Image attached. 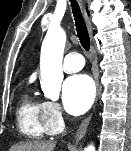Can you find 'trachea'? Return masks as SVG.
I'll list each match as a JSON object with an SVG mask.
<instances>
[{
	"label": "trachea",
	"mask_w": 131,
	"mask_h": 151,
	"mask_svg": "<svg viewBox=\"0 0 131 151\" xmlns=\"http://www.w3.org/2000/svg\"><path fill=\"white\" fill-rule=\"evenodd\" d=\"M70 1H71L73 14H74L78 38L80 40L82 47L86 51H89V49H90V37L88 34L86 24H85L84 19L82 17L79 5H78L76 0H70Z\"/></svg>",
	"instance_id": "1"
}]
</instances>
